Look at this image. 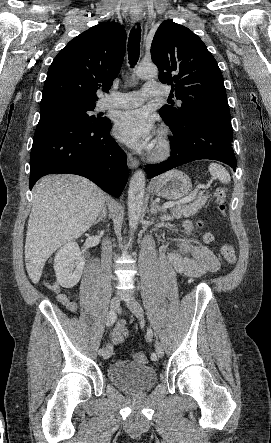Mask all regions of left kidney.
I'll use <instances>...</instances> for the list:
<instances>
[{"label": "left kidney", "instance_id": "left-kidney-1", "mask_svg": "<svg viewBox=\"0 0 271 443\" xmlns=\"http://www.w3.org/2000/svg\"><path fill=\"white\" fill-rule=\"evenodd\" d=\"M180 241H182V243H179V245L181 247L180 251H184V253H186V251H188V245H187L188 241H187V239H180ZM184 245H185V247H184Z\"/></svg>", "mask_w": 271, "mask_h": 443}]
</instances>
